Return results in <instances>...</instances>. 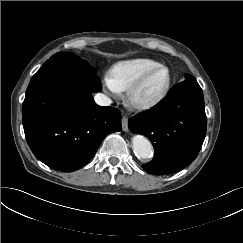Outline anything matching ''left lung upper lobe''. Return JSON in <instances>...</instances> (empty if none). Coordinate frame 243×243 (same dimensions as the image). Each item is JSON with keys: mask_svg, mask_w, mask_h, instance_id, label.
<instances>
[{"mask_svg": "<svg viewBox=\"0 0 243 243\" xmlns=\"http://www.w3.org/2000/svg\"><path fill=\"white\" fill-rule=\"evenodd\" d=\"M186 80H194V78L190 75H186Z\"/></svg>", "mask_w": 243, "mask_h": 243, "instance_id": "5c2ea615", "label": "left lung upper lobe"}]
</instances>
